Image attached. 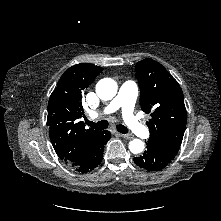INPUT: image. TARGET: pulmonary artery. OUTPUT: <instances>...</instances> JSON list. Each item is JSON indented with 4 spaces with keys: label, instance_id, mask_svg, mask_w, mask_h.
<instances>
[{
    "label": "pulmonary artery",
    "instance_id": "pulmonary-artery-1",
    "mask_svg": "<svg viewBox=\"0 0 221 221\" xmlns=\"http://www.w3.org/2000/svg\"><path fill=\"white\" fill-rule=\"evenodd\" d=\"M138 88L135 82L126 81L119 89L117 96L105 107L104 113L109 114L118 109L122 110L123 118L127 126L138 136L146 137V127L135 117L133 113L134 104L137 98ZM93 118L98 117L97 113L92 114Z\"/></svg>",
    "mask_w": 221,
    "mask_h": 221
}]
</instances>
